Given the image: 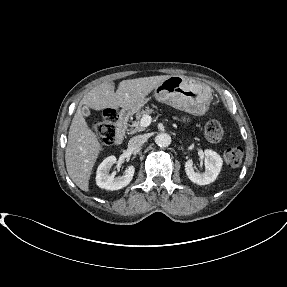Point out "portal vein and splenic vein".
Listing matches in <instances>:
<instances>
[{"label":"portal vein and splenic vein","instance_id":"1","mask_svg":"<svg viewBox=\"0 0 287 287\" xmlns=\"http://www.w3.org/2000/svg\"><path fill=\"white\" fill-rule=\"evenodd\" d=\"M151 121H152V117L146 114L141 118L140 125L141 127H144V128L148 127L151 124Z\"/></svg>","mask_w":287,"mask_h":287}]
</instances>
